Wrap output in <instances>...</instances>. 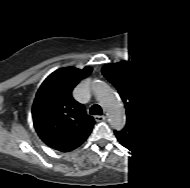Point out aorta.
<instances>
[{
    "instance_id": "obj_1",
    "label": "aorta",
    "mask_w": 190,
    "mask_h": 188,
    "mask_svg": "<svg viewBox=\"0 0 190 188\" xmlns=\"http://www.w3.org/2000/svg\"><path fill=\"white\" fill-rule=\"evenodd\" d=\"M99 101L109 115V121L115 126H120L124 122V113L117 101L116 96L104 85L99 92Z\"/></svg>"
}]
</instances>
